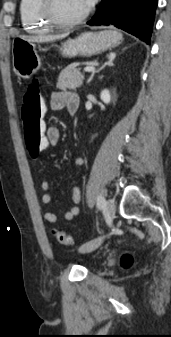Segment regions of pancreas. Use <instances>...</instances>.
<instances>
[{
	"label": "pancreas",
	"instance_id": "cf45deb5",
	"mask_svg": "<svg viewBox=\"0 0 171 337\" xmlns=\"http://www.w3.org/2000/svg\"><path fill=\"white\" fill-rule=\"evenodd\" d=\"M88 64V63H85ZM84 75L76 64L68 65L61 71L58 77L57 88L61 90H75L83 84Z\"/></svg>",
	"mask_w": 171,
	"mask_h": 337
}]
</instances>
